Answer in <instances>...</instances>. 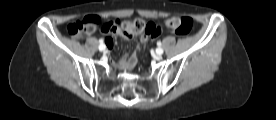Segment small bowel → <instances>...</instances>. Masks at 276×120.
<instances>
[{"label": "small bowel", "instance_id": "obj_1", "mask_svg": "<svg viewBox=\"0 0 276 120\" xmlns=\"http://www.w3.org/2000/svg\"><path fill=\"white\" fill-rule=\"evenodd\" d=\"M147 39L148 38L142 37L141 42L144 43L145 41H147ZM105 43L107 45V48H112L114 45V40L112 38H106ZM139 50H140V47L136 46V48L134 49V51L129 57H126V56L123 57V64H122L123 69L132 70L136 66L138 61Z\"/></svg>", "mask_w": 276, "mask_h": 120}]
</instances>
